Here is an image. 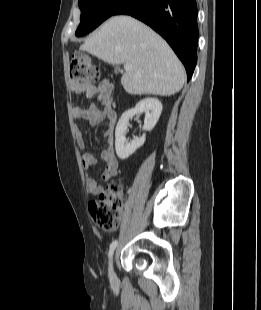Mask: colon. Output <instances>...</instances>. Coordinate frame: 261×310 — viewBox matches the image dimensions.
<instances>
[{
	"mask_svg": "<svg viewBox=\"0 0 261 310\" xmlns=\"http://www.w3.org/2000/svg\"><path fill=\"white\" fill-rule=\"evenodd\" d=\"M70 79L75 86L91 85L99 79V70L89 54L73 55ZM123 206L122 188L118 183L111 182L97 198L89 202V212L99 228L114 231L120 224Z\"/></svg>",
	"mask_w": 261,
	"mask_h": 310,
	"instance_id": "obj_1",
	"label": "colon"
}]
</instances>
